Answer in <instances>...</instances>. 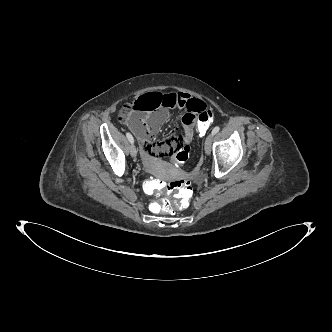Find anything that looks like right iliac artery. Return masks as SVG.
<instances>
[{"label": "right iliac artery", "mask_w": 332, "mask_h": 332, "mask_svg": "<svg viewBox=\"0 0 332 332\" xmlns=\"http://www.w3.org/2000/svg\"><path fill=\"white\" fill-rule=\"evenodd\" d=\"M126 137L129 140V142L134 143L133 136L129 132L126 133Z\"/></svg>", "instance_id": "right-iliac-artery-1"}]
</instances>
